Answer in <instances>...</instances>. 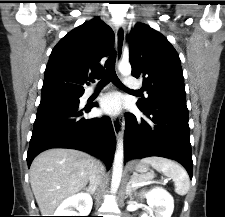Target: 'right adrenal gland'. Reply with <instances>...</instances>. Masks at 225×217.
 Segmentation results:
<instances>
[{"label": "right adrenal gland", "instance_id": "right-adrenal-gland-1", "mask_svg": "<svg viewBox=\"0 0 225 217\" xmlns=\"http://www.w3.org/2000/svg\"><path fill=\"white\" fill-rule=\"evenodd\" d=\"M84 190H86L87 192H90V189L88 187L84 188ZM91 193L93 194L94 191H92Z\"/></svg>", "mask_w": 225, "mask_h": 217}]
</instances>
